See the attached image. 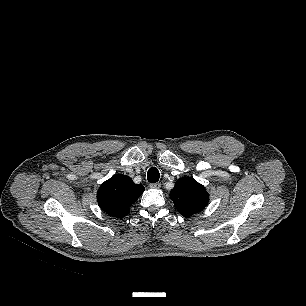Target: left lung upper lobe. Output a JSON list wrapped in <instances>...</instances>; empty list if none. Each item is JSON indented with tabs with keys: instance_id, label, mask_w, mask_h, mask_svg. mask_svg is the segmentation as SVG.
Instances as JSON below:
<instances>
[{
	"instance_id": "5c2ea615",
	"label": "left lung upper lobe",
	"mask_w": 306,
	"mask_h": 306,
	"mask_svg": "<svg viewBox=\"0 0 306 306\" xmlns=\"http://www.w3.org/2000/svg\"><path fill=\"white\" fill-rule=\"evenodd\" d=\"M170 199L183 216L189 217L205 208L209 196L200 183L192 177L179 179L171 190Z\"/></svg>"
}]
</instances>
